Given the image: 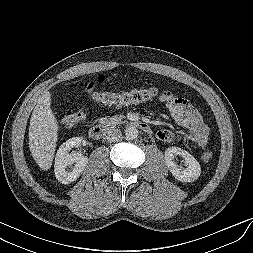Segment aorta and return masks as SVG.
<instances>
[{
    "instance_id": "obj_1",
    "label": "aorta",
    "mask_w": 253,
    "mask_h": 253,
    "mask_svg": "<svg viewBox=\"0 0 253 253\" xmlns=\"http://www.w3.org/2000/svg\"><path fill=\"white\" fill-rule=\"evenodd\" d=\"M138 130L136 127L133 126H128L125 129V136L128 140H133L136 139L138 137Z\"/></svg>"
}]
</instances>
